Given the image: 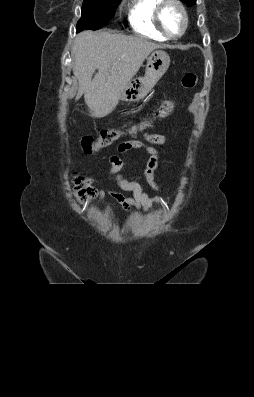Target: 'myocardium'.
Returning a JSON list of instances; mask_svg holds the SVG:
<instances>
[{
    "label": "myocardium",
    "mask_w": 254,
    "mask_h": 397,
    "mask_svg": "<svg viewBox=\"0 0 254 397\" xmlns=\"http://www.w3.org/2000/svg\"><path fill=\"white\" fill-rule=\"evenodd\" d=\"M168 5L176 6L180 10L181 15H182L183 25H182L181 31L177 35L169 34L162 24V13H163V10L165 9V7ZM154 21H155V25H156L158 31L166 39L176 40V39L181 38L185 34V32L188 28V13H187L185 6L183 5V3L180 0H160V2L158 3V5L155 8Z\"/></svg>",
    "instance_id": "obj_1"
}]
</instances>
